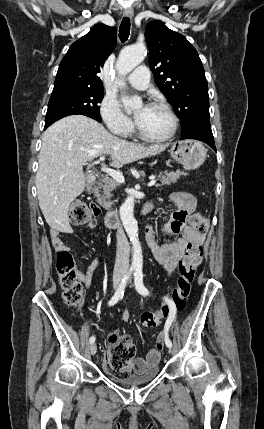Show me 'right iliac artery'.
Here are the masks:
<instances>
[{
	"mask_svg": "<svg viewBox=\"0 0 264 429\" xmlns=\"http://www.w3.org/2000/svg\"><path fill=\"white\" fill-rule=\"evenodd\" d=\"M132 269L129 270V272L124 276V278L122 279L117 291L115 292L114 296L110 299V301L108 302L109 306H113L115 305L124 295V289L126 287L127 281L132 273ZM95 341V336H91L89 339L90 344L94 343Z\"/></svg>",
	"mask_w": 264,
	"mask_h": 429,
	"instance_id": "82829eb1",
	"label": "right iliac artery"
}]
</instances>
